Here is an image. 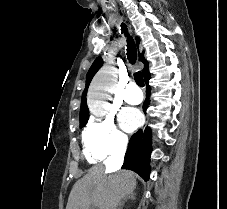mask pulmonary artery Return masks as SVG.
I'll return each mask as SVG.
<instances>
[{
  "label": "pulmonary artery",
  "mask_w": 227,
  "mask_h": 209,
  "mask_svg": "<svg viewBox=\"0 0 227 209\" xmlns=\"http://www.w3.org/2000/svg\"><path fill=\"white\" fill-rule=\"evenodd\" d=\"M125 88L123 98L126 103L132 104V105H137L140 104L143 100V97L141 93L138 92V88H134L137 86L136 82H126L125 83Z\"/></svg>",
  "instance_id": "obj_1"
}]
</instances>
